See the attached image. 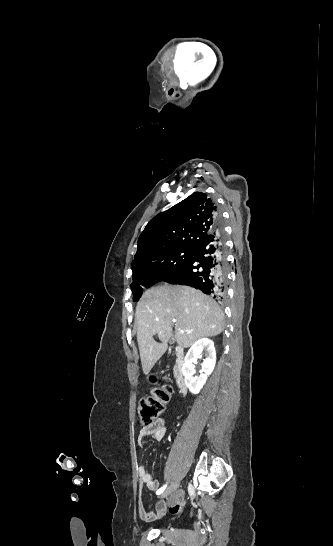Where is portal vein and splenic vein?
Here are the masks:
<instances>
[{"mask_svg": "<svg viewBox=\"0 0 333 546\" xmlns=\"http://www.w3.org/2000/svg\"><path fill=\"white\" fill-rule=\"evenodd\" d=\"M172 322L175 323V322H176V319H173ZM180 333H181V334H184L185 331H184V330H180Z\"/></svg>", "mask_w": 333, "mask_h": 546, "instance_id": "obj_1", "label": "portal vein and splenic vein"}]
</instances>
